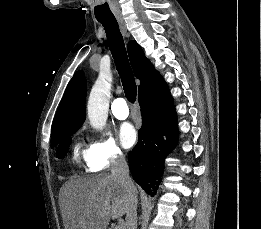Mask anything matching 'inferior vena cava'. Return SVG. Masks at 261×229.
Instances as JSON below:
<instances>
[{
  "label": "inferior vena cava",
  "instance_id": "inferior-vena-cava-1",
  "mask_svg": "<svg viewBox=\"0 0 261 229\" xmlns=\"http://www.w3.org/2000/svg\"><path fill=\"white\" fill-rule=\"evenodd\" d=\"M111 173L112 177L118 179L119 183L125 187L128 197H131L130 205L126 213L125 229H137V197L133 195V191H136V189L135 185L132 183V179L129 177V167L123 155H119L116 159H112Z\"/></svg>",
  "mask_w": 261,
  "mask_h": 229
}]
</instances>
